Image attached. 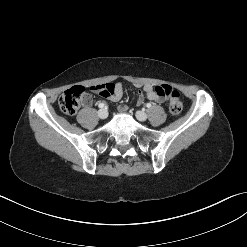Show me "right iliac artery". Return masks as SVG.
<instances>
[{"instance_id":"1","label":"right iliac artery","mask_w":247,"mask_h":247,"mask_svg":"<svg viewBox=\"0 0 247 247\" xmlns=\"http://www.w3.org/2000/svg\"><path fill=\"white\" fill-rule=\"evenodd\" d=\"M98 107H99V108H105L106 105H105L104 103H100V104L98 105Z\"/></svg>"}]
</instances>
